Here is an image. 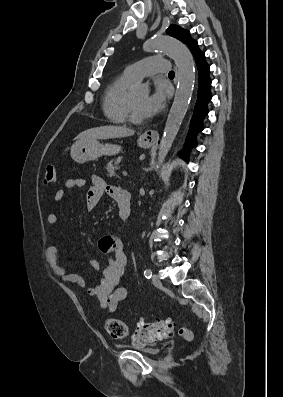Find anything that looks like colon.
Wrapping results in <instances>:
<instances>
[{
    "instance_id": "1",
    "label": "colon",
    "mask_w": 283,
    "mask_h": 397,
    "mask_svg": "<svg viewBox=\"0 0 283 397\" xmlns=\"http://www.w3.org/2000/svg\"><path fill=\"white\" fill-rule=\"evenodd\" d=\"M57 169L54 165H47L43 173V183L53 184L56 181ZM108 334L116 340H126L131 338L137 345H144L156 339H163L173 336L174 323L171 319H161L148 323H141L136 330L130 334L126 324L118 319L109 318L105 322ZM180 335L186 340H191L192 335L187 329H181Z\"/></svg>"
}]
</instances>
